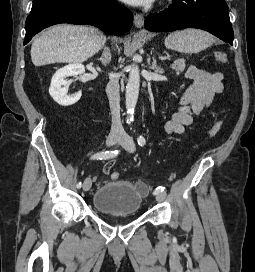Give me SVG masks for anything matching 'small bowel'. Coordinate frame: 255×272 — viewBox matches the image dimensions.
Segmentation results:
<instances>
[{
	"instance_id": "1",
	"label": "small bowel",
	"mask_w": 255,
	"mask_h": 272,
	"mask_svg": "<svg viewBox=\"0 0 255 272\" xmlns=\"http://www.w3.org/2000/svg\"><path fill=\"white\" fill-rule=\"evenodd\" d=\"M186 77L192 84L181 94L178 107L170 115L165 129L168 134H181L193 125L195 117L209 108L224 90V75L221 72H209L197 66H190ZM113 162L108 161L103 172L109 174Z\"/></svg>"
}]
</instances>
